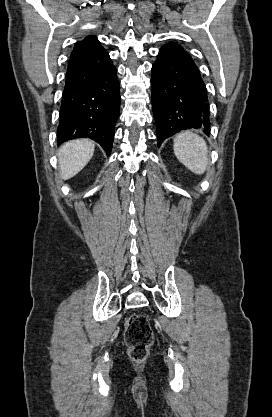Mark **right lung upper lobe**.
Instances as JSON below:
<instances>
[{
  "label": "right lung upper lobe",
  "mask_w": 272,
  "mask_h": 417,
  "mask_svg": "<svg viewBox=\"0 0 272 417\" xmlns=\"http://www.w3.org/2000/svg\"><path fill=\"white\" fill-rule=\"evenodd\" d=\"M99 42L95 36H87L83 41L77 42L71 53V56L82 54L92 47L97 45Z\"/></svg>",
  "instance_id": "cb5924a9"
}]
</instances>
